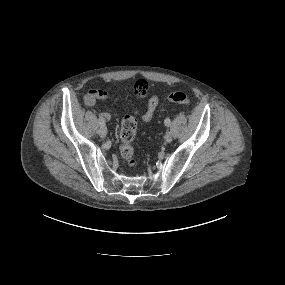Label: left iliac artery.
I'll return each mask as SVG.
<instances>
[{
	"instance_id": "1",
	"label": "left iliac artery",
	"mask_w": 285,
	"mask_h": 285,
	"mask_svg": "<svg viewBox=\"0 0 285 285\" xmlns=\"http://www.w3.org/2000/svg\"><path fill=\"white\" fill-rule=\"evenodd\" d=\"M170 123H171L170 119L167 118L164 120L165 126H167V127L170 126Z\"/></svg>"
}]
</instances>
